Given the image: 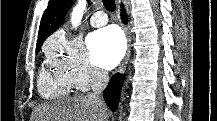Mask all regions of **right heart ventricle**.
Returning a JSON list of instances; mask_svg holds the SVG:
<instances>
[{
  "mask_svg": "<svg viewBox=\"0 0 217 121\" xmlns=\"http://www.w3.org/2000/svg\"><path fill=\"white\" fill-rule=\"evenodd\" d=\"M73 86L56 71L42 69L38 78V90L43 98L57 99L67 96Z\"/></svg>",
  "mask_w": 217,
  "mask_h": 121,
  "instance_id": "1",
  "label": "right heart ventricle"
}]
</instances>
